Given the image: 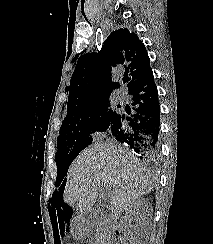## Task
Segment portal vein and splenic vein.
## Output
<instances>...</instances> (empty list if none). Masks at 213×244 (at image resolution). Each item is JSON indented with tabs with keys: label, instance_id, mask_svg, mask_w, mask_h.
Returning <instances> with one entry per match:
<instances>
[{
	"label": "portal vein and splenic vein",
	"instance_id": "1",
	"mask_svg": "<svg viewBox=\"0 0 213 244\" xmlns=\"http://www.w3.org/2000/svg\"><path fill=\"white\" fill-rule=\"evenodd\" d=\"M103 197H105L104 193H102Z\"/></svg>",
	"mask_w": 213,
	"mask_h": 244
}]
</instances>
